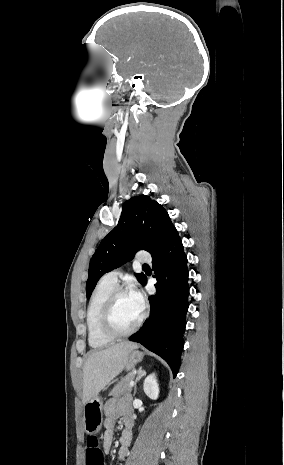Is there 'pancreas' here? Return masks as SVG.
<instances>
[{
	"label": "pancreas",
	"instance_id": "cf45deb5",
	"mask_svg": "<svg viewBox=\"0 0 284 465\" xmlns=\"http://www.w3.org/2000/svg\"><path fill=\"white\" fill-rule=\"evenodd\" d=\"M134 377V373H128L124 379H121L120 383L112 389L110 395L111 397H122L125 393H131L132 389L130 387V383Z\"/></svg>",
	"mask_w": 284,
	"mask_h": 465
}]
</instances>
